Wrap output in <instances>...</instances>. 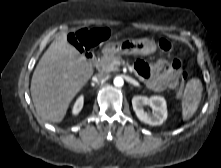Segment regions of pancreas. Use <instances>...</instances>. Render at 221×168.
<instances>
[{"label": "pancreas", "mask_w": 221, "mask_h": 168, "mask_svg": "<svg viewBox=\"0 0 221 168\" xmlns=\"http://www.w3.org/2000/svg\"><path fill=\"white\" fill-rule=\"evenodd\" d=\"M120 56L114 54L102 56L97 63V68L104 72L118 71L120 65Z\"/></svg>", "instance_id": "pancreas-1"}]
</instances>
